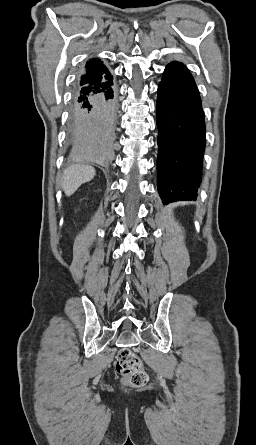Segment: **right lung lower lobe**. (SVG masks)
Masks as SVG:
<instances>
[{"label":"right lung lower lobe","mask_w":256,"mask_h":445,"mask_svg":"<svg viewBox=\"0 0 256 445\" xmlns=\"http://www.w3.org/2000/svg\"><path fill=\"white\" fill-rule=\"evenodd\" d=\"M115 119L113 76L97 86L76 89L71 126L73 157L100 164L110 162Z\"/></svg>","instance_id":"right-lung-lower-lobe-1"}]
</instances>
